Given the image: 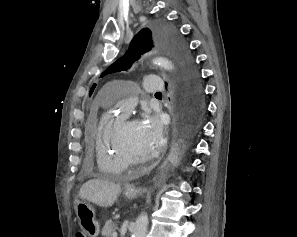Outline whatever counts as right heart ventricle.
I'll return each instance as SVG.
<instances>
[{"instance_id":"obj_1","label":"right heart ventricle","mask_w":297,"mask_h":237,"mask_svg":"<svg viewBox=\"0 0 297 237\" xmlns=\"http://www.w3.org/2000/svg\"><path fill=\"white\" fill-rule=\"evenodd\" d=\"M124 115L105 114L100 118L95 137V157L98 169L107 175L121 174L128 164L118 152L114 136L117 125Z\"/></svg>"}]
</instances>
